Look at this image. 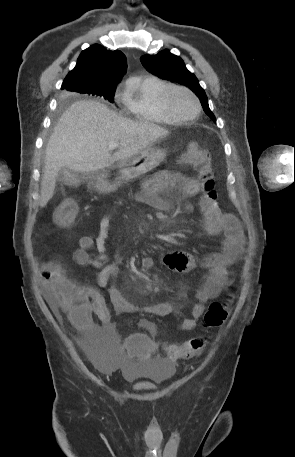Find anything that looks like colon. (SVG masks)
Here are the masks:
<instances>
[{"label":"colon","instance_id":"1","mask_svg":"<svg viewBox=\"0 0 295 457\" xmlns=\"http://www.w3.org/2000/svg\"><path fill=\"white\" fill-rule=\"evenodd\" d=\"M180 161L194 167L198 172L202 200L218 206L209 153L200 149L195 142H191ZM77 212L78 208L73 202H64L56 209L54 220L60 226H67L75 220ZM43 272L53 278V290L60 307L67 311L70 319L77 320L84 303L82 287L68 279L62 268L56 263H47ZM227 317V304L219 301L212 302L204 315V323L208 328L220 327ZM124 339L120 356L125 362H148L159 359L156 341H151L149 330H130L129 333H125ZM205 344L206 337L200 336L184 341L181 345H174L166 351V360H183V358L193 357L201 352Z\"/></svg>","mask_w":295,"mask_h":457}]
</instances>
